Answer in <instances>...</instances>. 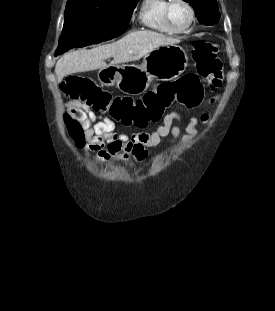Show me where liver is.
<instances>
[{
  "label": "liver",
  "instance_id": "liver-1",
  "mask_svg": "<svg viewBox=\"0 0 275 311\" xmlns=\"http://www.w3.org/2000/svg\"><path fill=\"white\" fill-rule=\"evenodd\" d=\"M178 40L153 31H134L115 43L91 50L73 51L61 57L55 66L58 82L72 73L108 67L105 60L112 57L111 65L136 61L162 45Z\"/></svg>",
  "mask_w": 275,
  "mask_h": 311
}]
</instances>
